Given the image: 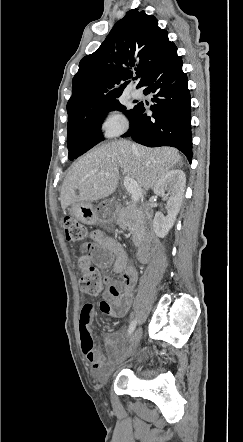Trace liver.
Returning <instances> with one entry per match:
<instances>
[{
	"label": "liver",
	"instance_id": "1",
	"mask_svg": "<svg viewBox=\"0 0 243 442\" xmlns=\"http://www.w3.org/2000/svg\"><path fill=\"white\" fill-rule=\"evenodd\" d=\"M180 161L178 151L170 147L148 148L126 140L106 143L73 164L61 188V207L110 196L118 186L120 168L148 190Z\"/></svg>",
	"mask_w": 243,
	"mask_h": 442
}]
</instances>
